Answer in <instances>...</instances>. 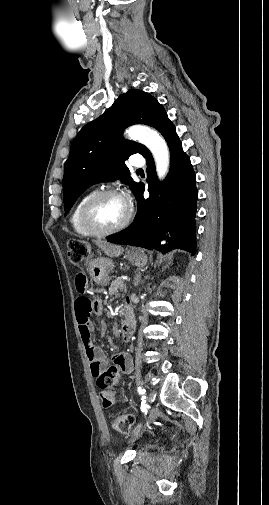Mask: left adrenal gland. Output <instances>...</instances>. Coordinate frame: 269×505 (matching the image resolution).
I'll return each instance as SVG.
<instances>
[{
	"instance_id": "1",
	"label": "left adrenal gland",
	"mask_w": 269,
	"mask_h": 505,
	"mask_svg": "<svg viewBox=\"0 0 269 505\" xmlns=\"http://www.w3.org/2000/svg\"><path fill=\"white\" fill-rule=\"evenodd\" d=\"M139 282H140V276H138V278L136 279L135 285H138Z\"/></svg>"
}]
</instances>
